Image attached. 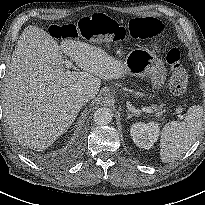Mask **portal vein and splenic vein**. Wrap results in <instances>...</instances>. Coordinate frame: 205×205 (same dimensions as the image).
<instances>
[{
    "label": "portal vein and splenic vein",
    "mask_w": 205,
    "mask_h": 205,
    "mask_svg": "<svg viewBox=\"0 0 205 205\" xmlns=\"http://www.w3.org/2000/svg\"><path fill=\"white\" fill-rule=\"evenodd\" d=\"M65 64H66L67 68L72 67V62L70 60H66ZM141 111L145 112V113H152L153 112V110L151 108H148V107L147 108L146 107L141 108Z\"/></svg>",
    "instance_id": "1"
}]
</instances>
